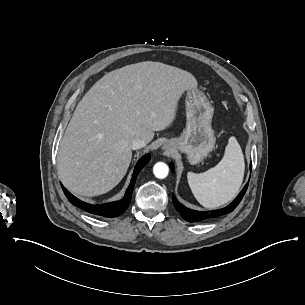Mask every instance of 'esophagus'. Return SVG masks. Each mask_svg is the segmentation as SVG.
Instances as JSON below:
<instances>
[{
    "label": "esophagus",
    "mask_w": 305,
    "mask_h": 305,
    "mask_svg": "<svg viewBox=\"0 0 305 305\" xmlns=\"http://www.w3.org/2000/svg\"><path fill=\"white\" fill-rule=\"evenodd\" d=\"M163 148L164 149H172V145L170 143H164Z\"/></svg>",
    "instance_id": "obj_1"
}]
</instances>
